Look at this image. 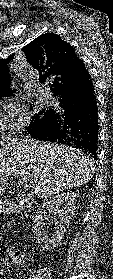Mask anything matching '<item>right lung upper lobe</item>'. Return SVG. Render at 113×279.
Masks as SVG:
<instances>
[{
    "label": "right lung upper lobe",
    "mask_w": 113,
    "mask_h": 279,
    "mask_svg": "<svg viewBox=\"0 0 113 279\" xmlns=\"http://www.w3.org/2000/svg\"><path fill=\"white\" fill-rule=\"evenodd\" d=\"M22 51L28 63L38 70L39 80L49 81L54 96L62 98L75 92L90 75L83 61L76 55L74 47L57 34H42ZM13 58L14 54L0 61V98L10 91L6 65Z\"/></svg>",
    "instance_id": "obj_1"
}]
</instances>
